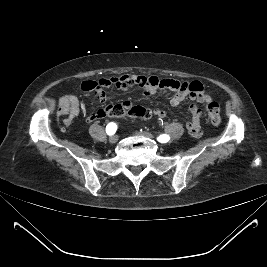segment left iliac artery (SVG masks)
<instances>
[{
	"mask_svg": "<svg viewBox=\"0 0 267 267\" xmlns=\"http://www.w3.org/2000/svg\"><path fill=\"white\" fill-rule=\"evenodd\" d=\"M169 139H170V137H169L168 135H166V134L160 135V136L157 138V140H158L159 142H161V143H166V142L169 141Z\"/></svg>",
	"mask_w": 267,
	"mask_h": 267,
	"instance_id": "1",
	"label": "left iliac artery"
}]
</instances>
